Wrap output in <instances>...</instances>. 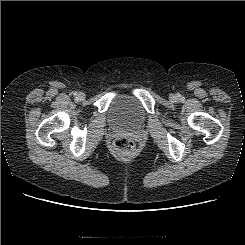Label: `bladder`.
Segmentation results:
<instances>
[{
    "mask_svg": "<svg viewBox=\"0 0 245 245\" xmlns=\"http://www.w3.org/2000/svg\"><path fill=\"white\" fill-rule=\"evenodd\" d=\"M109 118L118 126L137 128L144 123L145 112L138 101L130 96H123L111 105Z\"/></svg>",
    "mask_w": 245,
    "mask_h": 245,
    "instance_id": "obj_1",
    "label": "bladder"
}]
</instances>
